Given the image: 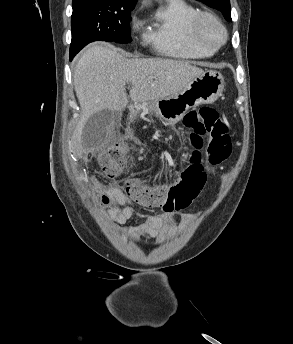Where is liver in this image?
<instances>
[{"instance_id": "6515ba94", "label": "liver", "mask_w": 293, "mask_h": 344, "mask_svg": "<svg viewBox=\"0 0 293 344\" xmlns=\"http://www.w3.org/2000/svg\"><path fill=\"white\" fill-rule=\"evenodd\" d=\"M203 72L187 61L127 59L113 47H89L79 58L73 77L81 117L71 139L72 153L82 156V131L94 113L121 111L128 105L127 83L132 84L131 100L145 103L178 94Z\"/></svg>"}]
</instances>
